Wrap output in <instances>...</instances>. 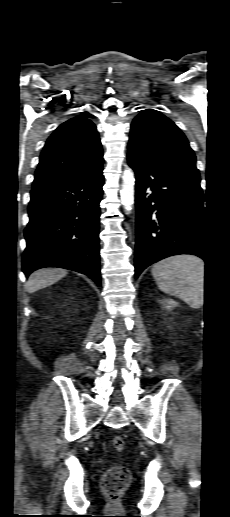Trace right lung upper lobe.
<instances>
[{
    "label": "right lung upper lobe",
    "instance_id": "cb5924a9",
    "mask_svg": "<svg viewBox=\"0 0 230 517\" xmlns=\"http://www.w3.org/2000/svg\"><path fill=\"white\" fill-rule=\"evenodd\" d=\"M102 157L95 125L84 117L71 118L48 138L32 188H45L86 176L102 167Z\"/></svg>",
    "mask_w": 230,
    "mask_h": 517
}]
</instances>
